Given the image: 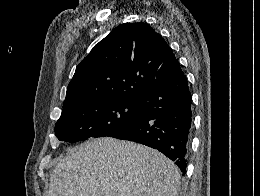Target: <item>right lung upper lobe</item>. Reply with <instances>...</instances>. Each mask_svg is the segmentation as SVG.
I'll list each match as a JSON object with an SVG mask.
<instances>
[{
    "mask_svg": "<svg viewBox=\"0 0 260 196\" xmlns=\"http://www.w3.org/2000/svg\"><path fill=\"white\" fill-rule=\"evenodd\" d=\"M169 45L146 23L117 26L77 66L63 108L104 95L139 99L183 75Z\"/></svg>",
    "mask_w": 260,
    "mask_h": 196,
    "instance_id": "obj_1",
    "label": "right lung upper lobe"
}]
</instances>
